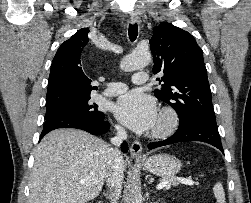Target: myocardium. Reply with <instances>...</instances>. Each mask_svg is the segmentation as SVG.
Returning <instances> with one entry per match:
<instances>
[{
	"label": "myocardium",
	"instance_id": "obj_1",
	"mask_svg": "<svg viewBox=\"0 0 251 203\" xmlns=\"http://www.w3.org/2000/svg\"><path fill=\"white\" fill-rule=\"evenodd\" d=\"M179 125L177 112L170 108H163L158 115L156 124L151 132L153 138H166L173 134Z\"/></svg>",
	"mask_w": 251,
	"mask_h": 203
}]
</instances>
